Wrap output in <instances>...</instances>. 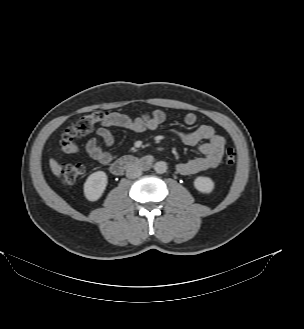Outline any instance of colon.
<instances>
[{"mask_svg": "<svg viewBox=\"0 0 304 329\" xmlns=\"http://www.w3.org/2000/svg\"><path fill=\"white\" fill-rule=\"evenodd\" d=\"M106 115V113L99 111L78 117L62 134L59 142L60 151L65 154L77 153L79 151L77 139L89 133L94 126L102 123ZM225 160L229 165L235 163L236 152L234 149L228 148L226 150ZM59 172L62 183L69 185L83 176L85 166L82 163L63 164L60 166Z\"/></svg>", "mask_w": 304, "mask_h": 329, "instance_id": "obj_1", "label": "colon"}]
</instances>
